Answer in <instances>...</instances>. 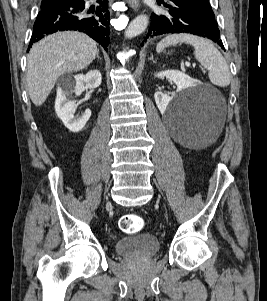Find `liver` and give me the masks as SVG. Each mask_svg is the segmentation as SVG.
I'll use <instances>...</instances> for the list:
<instances>
[{
  "label": "liver",
  "mask_w": 267,
  "mask_h": 301,
  "mask_svg": "<svg viewBox=\"0 0 267 301\" xmlns=\"http://www.w3.org/2000/svg\"><path fill=\"white\" fill-rule=\"evenodd\" d=\"M97 51L93 39L75 31L57 32L36 43L27 62V89L34 105L45 102L59 76L90 65Z\"/></svg>",
  "instance_id": "6515ba94"
}]
</instances>
